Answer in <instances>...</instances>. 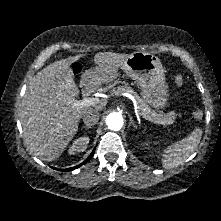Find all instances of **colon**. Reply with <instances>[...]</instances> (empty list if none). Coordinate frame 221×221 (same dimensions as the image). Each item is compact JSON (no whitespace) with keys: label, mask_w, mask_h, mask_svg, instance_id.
I'll use <instances>...</instances> for the list:
<instances>
[{"label":"colon","mask_w":221,"mask_h":221,"mask_svg":"<svg viewBox=\"0 0 221 221\" xmlns=\"http://www.w3.org/2000/svg\"><path fill=\"white\" fill-rule=\"evenodd\" d=\"M174 81L175 83L178 85V86H181L184 82L183 80V77L180 76V75H176L174 77ZM203 117V111L200 110V109H196L194 112H193V118L196 119V120H199Z\"/></svg>","instance_id":"5ec220e1"}]
</instances>
